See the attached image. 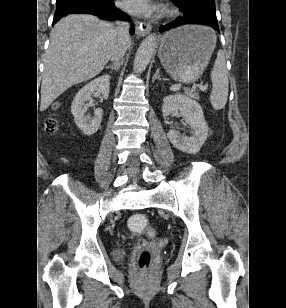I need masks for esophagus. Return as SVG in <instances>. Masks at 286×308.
I'll return each instance as SVG.
<instances>
[{"label": "esophagus", "mask_w": 286, "mask_h": 308, "mask_svg": "<svg viewBox=\"0 0 286 308\" xmlns=\"http://www.w3.org/2000/svg\"><path fill=\"white\" fill-rule=\"evenodd\" d=\"M151 28L152 26L148 22H141V23L137 22L136 34L139 37L145 36L151 31Z\"/></svg>", "instance_id": "34e87169"}]
</instances>
